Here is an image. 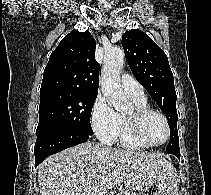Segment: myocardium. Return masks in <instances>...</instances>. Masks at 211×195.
I'll use <instances>...</instances> for the list:
<instances>
[{"mask_svg": "<svg viewBox=\"0 0 211 195\" xmlns=\"http://www.w3.org/2000/svg\"><path fill=\"white\" fill-rule=\"evenodd\" d=\"M150 115H158L165 123L166 126V137L162 142L152 143L146 140L142 133V125L144 120ZM126 121L128 124L129 131L131 135L139 143L143 144L146 147H158L165 144L170 137V125L167 117L160 111L152 109L150 107H135L131 114L126 115Z\"/></svg>", "mask_w": 211, "mask_h": 195, "instance_id": "myocardium-1", "label": "myocardium"}]
</instances>
